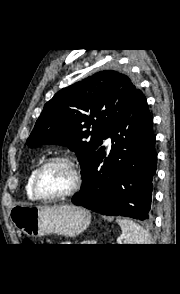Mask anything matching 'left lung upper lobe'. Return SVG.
Instances as JSON below:
<instances>
[{"mask_svg": "<svg viewBox=\"0 0 180 294\" xmlns=\"http://www.w3.org/2000/svg\"><path fill=\"white\" fill-rule=\"evenodd\" d=\"M138 91L127 75L114 70L101 71L74 83L45 104L27 145L68 146L77 154L84 179L106 134Z\"/></svg>", "mask_w": 180, "mask_h": 294, "instance_id": "1", "label": "left lung upper lobe"}]
</instances>
